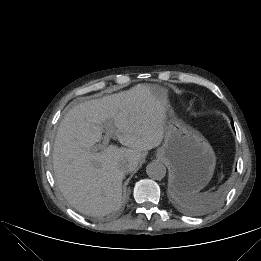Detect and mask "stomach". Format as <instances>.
Returning a JSON list of instances; mask_svg holds the SVG:
<instances>
[{
    "label": "stomach",
    "instance_id": "0dacf381",
    "mask_svg": "<svg viewBox=\"0 0 261 261\" xmlns=\"http://www.w3.org/2000/svg\"><path fill=\"white\" fill-rule=\"evenodd\" d=\"M169 117L164 143L157 151V158L169 167V184L176 195L198 193L213 176L216 164L214 151L197 131L176 119L172 110Z\"/></svg>",
    "mask_w": 261,
    "mask_h": 261
}]
</instances>
